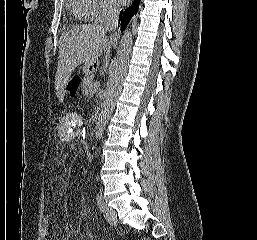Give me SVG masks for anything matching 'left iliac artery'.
Segmentation results:
<instances>
[{"mask_svg":"<svg viewBox=\"0 0 257 240\" xmlns=\"http://www.w3.org/2000/svg\"><path fill=\"white\" fill-rule=\"evenodd\" d=\"M96 202H97V206H98L99 210L103 211L104 203H103L101 195H99V194L96 195Z\"/></svg>","mask_w":257,"mask_h":240,"instance_id":"44dca946","label":"left iliac artery"}]
</instances>
